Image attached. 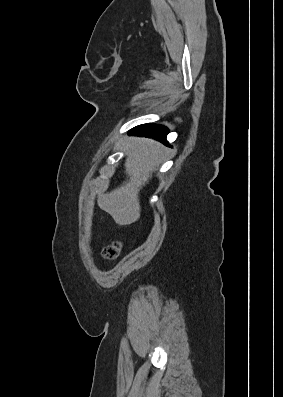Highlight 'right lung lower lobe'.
I'll return each instance as SVG.
<instances>
[{
  "label": "right lung lower lobe",
  "instance_id": "obj_1",
  "mask_svg": "<svg viewBox=\"0 0 283 397\" xmlns=\"http://www.w3.org/2000/svg\"><path fill=\"white\" fill-rule=\"evenodd\" d=\"M129 134L154 138L166 143L168 129L161 125L143 124L133 128Z\"/></svg>",
  "mask_w": 283,
  "mask_h": 397
}]
</instances>
